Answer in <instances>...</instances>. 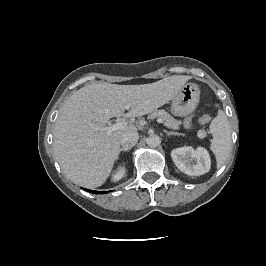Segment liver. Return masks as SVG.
Returning a JSON list of instances; mask_svg holds the SVG:
<instances>
[{
    "label": "liver",
    "mask_w": 266,
    "mask_h": 266,
    "mask_svg": "<svg viewBox=\"0 0 266 266\" xmlns=\"http://www.w3.org/2000/svg\"><path fill=\"white\" fill-rule=\"evenodd\" d=\"M189 76H170L154 83L117 85L93 83L71 95L55 123L53 149L64 174L88 188L101 186L118 159L124 133L134 125L107 134L101 130L112 117H140L168 103ZM130 111L124 114L126 105Z\"/></svg>",
    "instance_id": "1"
}]
</instances>
